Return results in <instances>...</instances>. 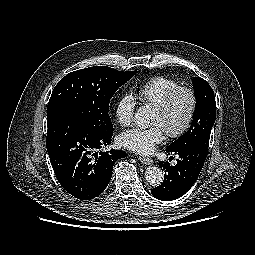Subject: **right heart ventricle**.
<instances>
[{
  "label": "right heart ventricle",
  "instance_id": "obj_1",
  "mask_svg": "<svg viewBox=\"0 0 255 255\" xmlns=\"http://www.w3.org/2000/svg\"><path fill=\"white\" fill-rule=\"evenodd\" d=\"M178 86L179 83L172 78L156 76L137 89L136 97L142 104L156 106L167 93Z\"/></svg>",
  "mask_w": 255,
  "mask_h": 255
}]
</instances>
